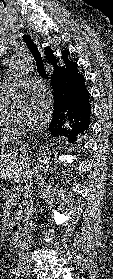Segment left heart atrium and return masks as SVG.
<instances>
[{
    "mask_svg": "<svg viewBox=\"0 0 113 279\" xmlns=\"http://www.w3.org/2000/svg\"><path fill=\"white\" fill-rule=\"evenodd\" d=\"M50 117V102L45 97H35L27 110V123L34 129H40L48 124Z\"/></svg>",
    "mask_w": 113,
    "mask_h": 279,
    "instance_id": "39dd6f15",
    "label": "left heart atrium"
}]
</instances>
